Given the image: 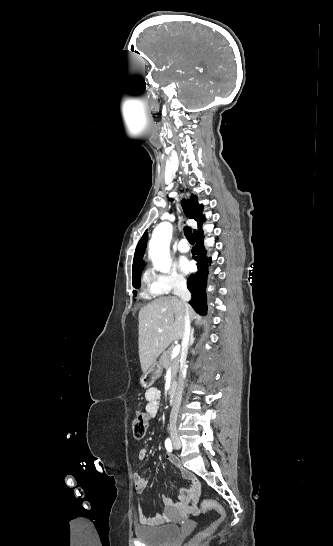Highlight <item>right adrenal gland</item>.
<instances>
[{
  "mask_svg": "<svg viewBox=\"0 0 333 546\" xmlns=\"http://www.w3.org/2000/svg\"><path fill=\"white\" fill-rule=\"evenodd\" d=\"M194 341H195V338H194V328H192L191 334H190V343H189V345L192 346V345L194 344Z\"/></svg>",
  "mask_w": 333,
  "mask_h": 546,
  "instance_id": "2a0ac1e0",
  "label": "right adrenal gland"
}]
</instances>
